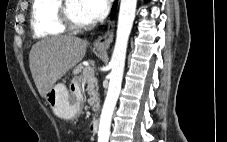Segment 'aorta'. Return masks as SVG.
Returning <instances> with one entry per match:
<instances>
[{"label": "aorta", "mask_w": 227, "mask_h": 142, "mask_svg": "<svg viewBox=\"0 0 227 142\" xmlns=\"http://www.w3.org/2000/svg\"><path fill=\"white\" fill-rule=\"evenodd\" d=\"M136 5L137 0H121L120 3L116 42L110 61V81L100 117L98 142L109 140L112 115L121 91L127 44L135 18Z\"/></svg>", "instance_id": "obj_1"}]
</instances>
